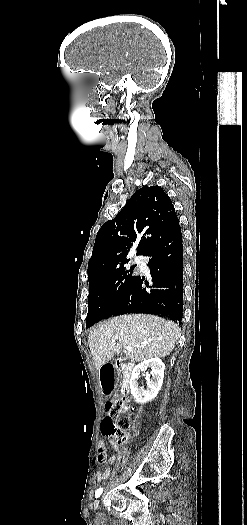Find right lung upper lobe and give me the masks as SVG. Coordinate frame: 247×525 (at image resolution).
I'll list each match as a JSON object with an SVG mask.
<instances>
[{"instance_id":"right-lung-upper-lobe-1","label":"right lung upper lobe","mask_w":247,"mask_h":525,"mask_svg":"<svg viewBox=\"0 0 247 525\" xmlns=\"http://www.w3.org/2000/svg\"><path fill=\"white\" fill-rule=\"evenodd\" d=\"M169 196L159 186H144L133 194L117 216L99 229L88 274L123 267L130 247L137 238L138 253L179 227Z\"/></svg>"}]
</instances>
